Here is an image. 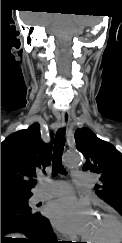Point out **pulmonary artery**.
Listing matches in <instances>:
<instances>
[{"mask_svg":"<svg viewBox=\"0 0 122 243\" xmlns=\"http://www.w3.org/2000/svg\"><path fill=\"white\" fill-rule=\"evenodd\" d=\"M73 175L75 180L81 186H84L89 182V175L86 172L74 170ZM69 191V185L67 182L62 180L50 181L47 186L41 188L35 195L37 201L44 200L46 198L62 195Z\"/></svg>","mask_w":122,"mask_h":243,"instance_id":"obj_1","label":"pulmonary artery"}]
</instances>
